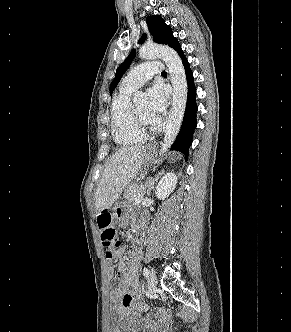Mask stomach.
Segmentation results:
<instances>
[{
    "label": "stomach",
    "instance_id": "0dacf381",
    "mask_svg": "<svg viewBox=\"0 0 291 332\" xmlns=\"http://www.w3.org/2000/svg\"><path fill=\"white\" fill-rule=\"evenodd\" d=\"M154 154H155V147L154 146H149L146 148L145 153H144V158L148 162H153L154 161ZM125 207V204L122 203H116L114 207V218L115 221L118 222L121 217V213Z\"/></svg>",
    "mask_w": 291,
    "mask_h": 332
}]
</instances>
